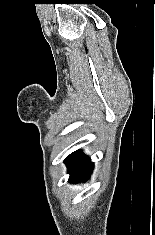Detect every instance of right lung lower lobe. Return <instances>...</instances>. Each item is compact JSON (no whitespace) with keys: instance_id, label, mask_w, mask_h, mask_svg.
<instances>
[{"instance_id":"right-lung-lower-lobe-1","label":"right lung lower lobe","mask_w":155,"mask_h":235,"mask_svg":"<svg viewBox=\"0 0 155 235\" xmlns=\"http://www.w3.org/2000/svg\"><path fill=\"white\" fill-rule=\"evenodd\" d=\"M65 163L68 166L70 179L72 183L85 181L93 171V163L90 158L81 151H75L70 154Z\"/></svg>"}]
</instances>
